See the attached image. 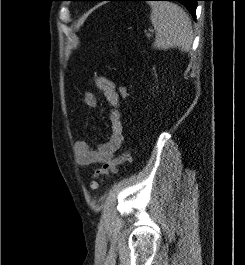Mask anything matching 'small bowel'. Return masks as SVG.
I'll return each mask as SVG.
<instances>
[{
	"instance_id": "small-bowel-1",
	"label": "small bowel",
	"mask_w": 245,
	"mask_h": 265,
	"mask_svg": "<svg viewBox=\"0 0 245 265\" xmlns=\"http://www.w3.org/2000/svg\"><path fill=\"white\" fill-rule=\"evenodd\" d=\"M95 84L111 107L108 117L111 133L109 139L96 148H93L85 139L76 141L74 146L76 161L83 167L110 161L115 152L122 146L124 140L120 109L121 95L117 91L115 83L104 76H99L95 79ZM83 101L91 108L99 106L98 97L92 92H85Z\"/></svg>"
}]
</instances>
